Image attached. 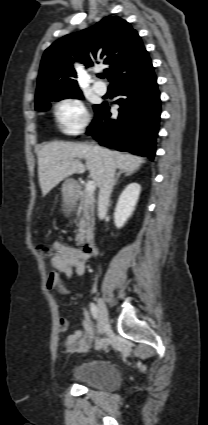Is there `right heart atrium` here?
<instances>
[{"instance_id":"right-heart-atrium-1","label":"right heart atrium","mask_w":208,"mask_h":425,"mask_svg":"<svg viewBox=\"0 0 208 425\" xmlns=\"http://www.w3.org/2000/svg\"><path fill=\"white\" fill-rule=\"evenodd\" d=\"M55 116L60 128L70 134L81 132L89 123V115L83 103L74 98L58 102Z\"/></svg>"}]
</instances>
